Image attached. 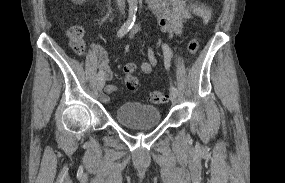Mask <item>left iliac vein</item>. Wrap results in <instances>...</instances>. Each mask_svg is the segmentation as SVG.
Listing matches in <instances>:
<instances>
[{
  "instance_id": "1",
  "label": "left iliac vein",
  "mask_w": 285,
  "mask_h": 183,
  "mask_svg": "<svg viewBox=\"0 0 285 183\" xmlns=\"http://www.w3.org/2000/svg\"><path fill=\"white\" fill-rule=\"evenodd\" d=\"M170 99H171L172 104L175 105L177 103V101H178L177 94L174 93V92H171L170 93Z\"/></svg>"
}]
</instances>
